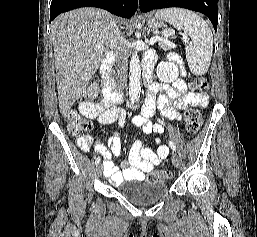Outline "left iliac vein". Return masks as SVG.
Wrapping results in <instances>:
<instances>
[{"mask_svg":"<svg viewBox=\"0 0 257 237\" xmlns=\"http://www.w3.org/2000/svg\"><path fill=\"white\" fill-rule=\"evenodd\" d=\"M172 162H173V164H174L175 167H179V166H180V164H181V159H180V157H179L178 154L173 153V155H172Z\"/></svg>","mask_w":257,"mask_h":237,"instance_id":"1","label":"left iliac vein"}]
</instances>
